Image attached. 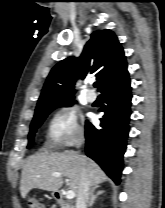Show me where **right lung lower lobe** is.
<instances>
[{
	"label": "right lung lower lobe",
	"mask_w": 165,
	"mask_h": 208,
	"mask_svg": "<svg viewBox=\"0 0 165 208\" xmlns=\"http://www.w3.org/2000/svg\"><path fill=\"white\" fill-rule=\"evenodd\" d=\"M105 105L99 128L85 123L86 155L95 160L117 184L123 169L129 133L131 87L128 72L100 91Z\"/></svg>",
	"instance_id": "obj_1"
}]
</instances>
